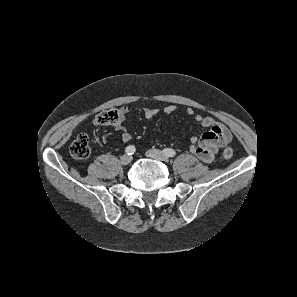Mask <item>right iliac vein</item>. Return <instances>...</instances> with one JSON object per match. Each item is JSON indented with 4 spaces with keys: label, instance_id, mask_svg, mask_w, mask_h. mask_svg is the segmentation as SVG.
<instances>
[{
    "label": "right iliac vein",
    "instance_id": "obj_1",
    "mask_svg": "<svg viewBox=\"0 0 297 297\" xmlns=\"http://www.w3.org/2000/svg\"><path fill=\"white\" fill-rule=\"evenodd\" d=\"M132 161V157L125 154L120 158V162L122 165H127Z\"/></svg>",
    "mask_w": 297,
    "mask_h": 297
}]
</instances>
